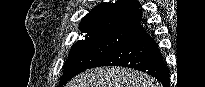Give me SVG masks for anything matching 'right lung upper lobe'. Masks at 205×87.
I'll return each instance as SVG.
<instances>
[{"mask_svg": "<svg viewBox=\"0 0 205 87\" xmlns=\"http://www.w3.org/2000/svg\"><path fill=\"white\" fill-rule=\"evenodd\" d=\"M142 12L136 0H117L94 7L80 22L83 33L121 31L135 34L143 29Z\"/></svg>", "mask_w": 205, "mask_h": 87, "instance_id": "right-lung-upper-lobe-1", "label": "right lung upper lobe"}]
</instances>
